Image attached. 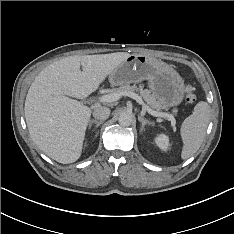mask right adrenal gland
<instances>
[{"instance_id":"right-adrenal-gland-1","label":"right adrenal gland","mask_w":234,"mask_h":234,"mask_svg":"<svg viewBox=\"0 0 234 234\" xmlns=\"http://www.w3.org/2000/svg\"><path fill=\"white\" fill-rule=\"evenodd\" d=\"M92 124H96V127H99L102 124V121L91 120L89 123V129L91 128Z\"/></svg>"}]
</instances>
